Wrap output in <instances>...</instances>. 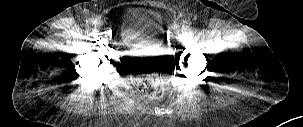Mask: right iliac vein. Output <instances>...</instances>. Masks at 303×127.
I'll use <instances>...</instances> for the list:
<instances>
[{"instance_id":"obj_1","label":"right iliac vein","mask_w":303,"mask_h":127,"mask_svg":"<svg viewBox=\"0 0 303 127\" xmlns=\"http://www.w3.org/2000/svg\"><path fill=\"white\" fill-rule=\"evenodd\" d=\"M95 25H96L97 27H101V26L103 25V21H102L101 19H96Z\"/></svg>"}]
</instances>
